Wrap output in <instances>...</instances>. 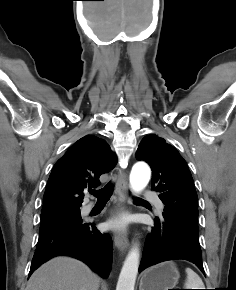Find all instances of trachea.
I'll return each mask as SVG.
<instances>
[{
	"label": "trachea",
	"mask_w": 236,
	"mask_h": 290,
	"mask_svg": "<svg viewBox=\"0 0 236 290\" xmlns=\"http://www.w3.org/2000/svg\"><path fill=\"white\" fill-rule=\"evenodd\" d=\"M113 187L111 183H108L104 186V188L100 189L99 191L89 190V193L96 196L99 202H107L112 193Z\"/></svg>",
	"instance_id": "1"
}]
</instances>
